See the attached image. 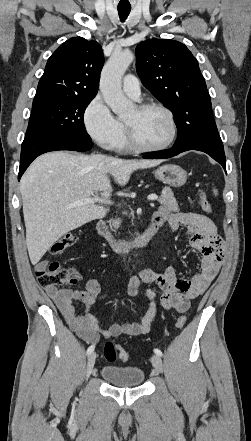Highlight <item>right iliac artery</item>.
<instances>
[{
  "label": "right iliac artery",
  "mask_w": 251,
  "mask_h": 441,
  "mask_svg": "<svg viewBox=\"0 0 251 441\" xmlns=\"http://www.w3.org/2000/svg\"><path fill=\"white\" fill-rule=\"evenodd\" d=\"M95 349L94 345H91L88 349H87V355H90Z\"/></svg>",
  "instance_id": "obj_1"
}]
</instances>
